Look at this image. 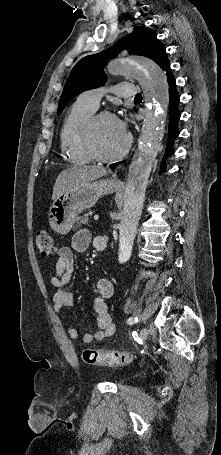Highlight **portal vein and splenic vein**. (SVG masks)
I'll use <instances>...</instances> for the list:
<instances>
[{
	"label": "portal vein and splenic vein",
	"mask_w": 221,
	"mask_h": 455,
	"mask_svg": "<svg viewBox=\"0 0 221 455\" xmlns=\"http://www.w3.org/2000/svg\"><path fill=\"white\" fill-rule=\"evenodd\" d=\"M99 219V216L98 215H95L94 216V220L97 221Z\"/></svg>",
	"instance_id": "portal-vein-and-splenic-vein-1"
}]
</instances>
